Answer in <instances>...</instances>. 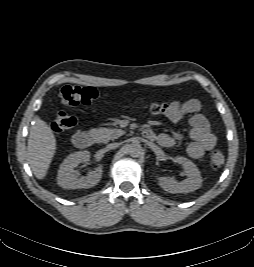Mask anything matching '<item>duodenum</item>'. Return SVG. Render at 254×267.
<instances>
[{
	"mask_svg": "<svg viewBox=\"0 0 254 267\" xmlns=\"http://www.w3.org/2000/svg\"><path fill=\"white\" fill-rule=\"evenodd\" d=\"M143 136L148 140L154 139V135L150 130H144ZM73 143L76 147L85 149L91 147L95 143V137L88 131H79L74 134Z\"/></svg>",
	"mask_w": 254,
	"mask_h": 267,
	"instance_id": "1",
	"label": "duodenum"
}]
</instances>
